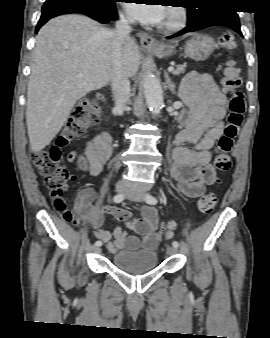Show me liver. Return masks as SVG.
I'll use <instances>...</instances> for the list:
<instances>
[{
    "label": "liver",
    "instance_id": "6515ba94",
    "mask_svg": "<svg viewBox=\"0 0 270 338\" xmlns=\"http://www.w3.org/2000/svg\"><path fill=\"white\" fill-rule=\"evenodd\" d=\"M111 32L83 15L56 17L38 32L26 109L33 152L50 144L79 99L110 83L114 67ZM120 61L127 78L137 73L140 56L133 39L123 44Z\"/></svg>",
    "mask_w": 270,
    "mask_h": 338
}]
</instances>
